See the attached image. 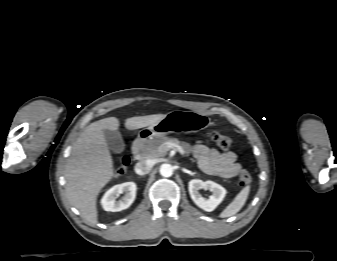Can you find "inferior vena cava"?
Segmentation results:
<instances>
[{"mask_svg":"<svg viewBox=\"0 0 337 261\" xmlns=\"http://www.w3.org/2000/svg\"><path fill=\"white\" fill-rule=\"evenodd\" d=\"M153 166V162L151 160L140 161L135 165V172L138 175L148 174Z\"/></svg>","mask_w":337,"mask_h":261,"instance_id":"1","label":"inferior vena cava"}]
</instances>
